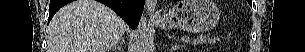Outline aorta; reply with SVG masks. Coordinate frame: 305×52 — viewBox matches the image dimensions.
Here are the masks:
<instances>
[{
    "mask_svg": "<svg viewBox=\"0 0 305 52\" xmlns=\"http://www.w3.org/2000/svg\"><path fill=\"white\" fill-rule=\"evenodd\" d=\"M135 52H152V42L148 33L147 18L141 17L134 36Z\"/></svg>",
    "mask_w": 305,
    "mask_h": 52,
    "instance_id": "762f6f07",
    "label": "aorta"
}]
</instances>
